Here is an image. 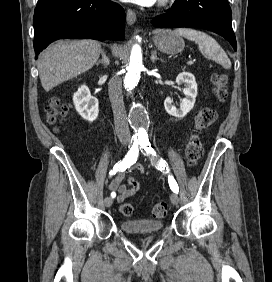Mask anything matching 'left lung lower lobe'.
Wrapping results in <instances>:
<instances>
[{
	"label": "left lung lower lobe",
	"instance_id": "obj_1",
	"mask_svg": "<svg viewBox=\"0 0 272 282\" xmlns=\"http://www.w3.org/2000/svg\"><path fill=\"white\" fill-rule=\"evenodd\" d=\"M231 17L227 0H176L172 9L155 17L152 24L158 28L207 29L227 39L236 51Z\"/></svg>",
	"mask_w": 272,
	"mask_h": 282
}]
</instances>
